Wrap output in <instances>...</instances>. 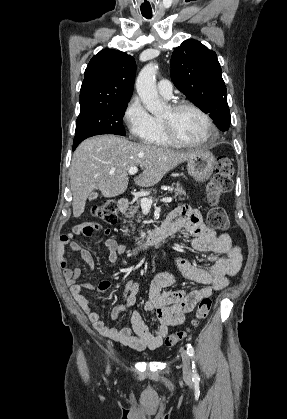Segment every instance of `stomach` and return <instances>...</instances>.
<instances>
[{
	"label": "stomach",
	"instance_id": "obj_1",
	"mask_svg": "<svg viewBox=\"0 0 287 419\" xmlns=\"http://www.w3.org/2000/svg\"><path fill=\"white\" fill-rule=\"evenodd\" d=\"M216 167V159L209 151H200L187 160L188 173L198 182L207 181Z\"/></svg>",
	"mask_w": 287,
	"mask_h": 419
}]
</instances>
